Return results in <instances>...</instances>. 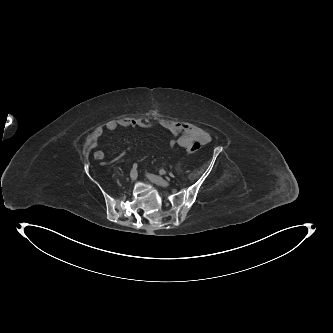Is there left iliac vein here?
<instances>
[{"instance_id":"1","label":"left iliac vein","mask_w":333,"mask_h":333,"mask_svg":"<svg viewBox=\"0 0 333 333\" xmlns=\"http://www.w3.org/2000/svg\"><path fill=\"white\" fill-rule=\"evenodd\" d=\"M147 178L152 182L155 183L156 185L162 186V187H167L169 185V181L156 176L154 174H147Z\"/></svg>"}]
</instances>
